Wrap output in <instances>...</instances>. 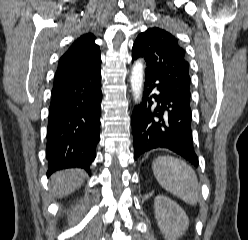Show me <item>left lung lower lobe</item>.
<instances>
[{
    "label": "left lung lower lobe",
    "mask_w": 248,
    "mask_h": 240,
    "mask_svg": "<svg viewBox=\"0 0 248 240\" xmlns=\"http://www.w3.org/2000/svg\"><path fill=\"white\" fill-rule=\"evenodd\" d=\"M157 78L146 74L142 102L132 114L134 158L155 148H167L194 166L198 157L192 139L190 99L183 98ZM154 89L158 94H152Z\"/></svg>",
    "instance_id": "obj_1"
}]
</instances>
